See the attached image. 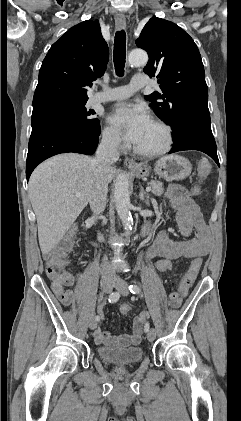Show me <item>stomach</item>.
<instances>
[{
	"instance_id": "stomach-1",
	"label": "stomach",
	"mask_w": 241,
	"mask_h": 421,
	"mask_svg": "<svg viewBox=\"0 0 241 421\" xmlns=\"http://www.w3.org/2000/svg\"><path fill=\"white\" fill-rule=\"evenodd\" d=\"M151 167L146 164H140L133 173L138 178L149 176ZM192 170L191 163L186 158L179 155H168L159 158L154 165V172L159 177L166 180H181L190 175Z\"/></svg>"
}]
</instances>
